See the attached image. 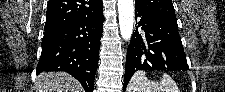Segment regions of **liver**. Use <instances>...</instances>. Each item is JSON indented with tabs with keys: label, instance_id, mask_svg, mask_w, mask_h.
I'll return each mask as SVG.
<instances>
[{
	"label": "liver",
	"instance_id": "1",
	"mask_svg": "<svg viewBox=\"0 0 225 92\" xmlns=\"http://www.w3.org/2000/svg\"><path fill=\"white\" fill-rule=\"evenodd\" d=\"M35 92H82L79 82L67 73L44 72L35 82Z\"/></svg>",
	"mask_w": 225,
	"mask_h": 92
}]
</instances>
